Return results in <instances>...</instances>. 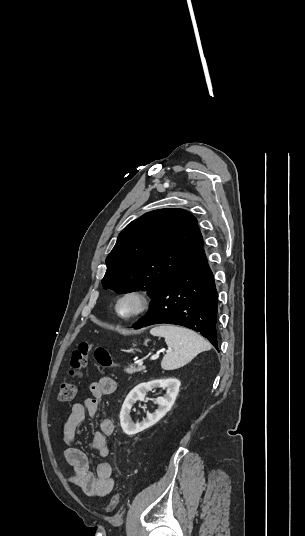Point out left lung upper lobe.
I'll return each mask as SVG.
<instances>
[{"instance_id":"left-lung-upper-lobe-1","label":"left lung upper lobe","mask_w":305,"mask_h":536,"mask_svg":"<svg viewBox=\"0 0 305 536\" xmlns=\"http://www.w3.org/2000/svg\"><path fill=\"white\" fill-rule=\"evenodd\" d=\"M203 250L196 218L182 209H159L129 223L106 258L105 289L146 290L153 298Z\"/></svg>"}]
</instances>
